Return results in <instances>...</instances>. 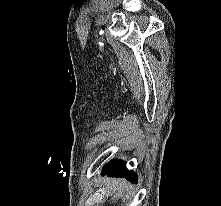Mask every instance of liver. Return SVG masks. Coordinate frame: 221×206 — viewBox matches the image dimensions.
I'll return each instance as SVG.
<instances>
[{"label":"liver","instance_id":"obj_1","mask_svg":"<svg viewBox=\"0 0 221 206\" xmlns=\"http://www.w3.org/2000/svg\"><path fill=\"white\" fill-rule=\"evenodd\" d=\"M106 186L107 195L111 196L113 200H118L125 190L126 182L120 179H111L106 181Z\"/></svg>","mask_w":221,"mask_h":206}]
</instances>
